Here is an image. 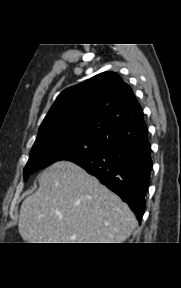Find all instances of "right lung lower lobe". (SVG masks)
I'll return each mask as SVG.
<instances>
[{"label":"right lung lower lobe","instance_id":"1","mask_svg":"<svg viewBox=\"0 0 181 288\" xmlns=\"http://www.w3.org/2000/svg\"><path fill=\"white\" fill-rule=\"evenodd\" d=\"M151 145L148 140L124 144L71 160L125 201L141 221L145 195L152 170Z\"/></svg>","mask_w":181,"mask_h":288}]
</instances>
